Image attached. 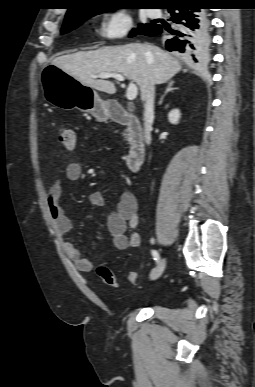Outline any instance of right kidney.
<instances>
[{"instance_id":"obj_1","label":"right kidney","mask_w":255,"mask_h":387,"mask_svg":"<svg viewBox=\"0 0 255 387\" xmlns=\"http://www.w3.org/2000/svg\"><path fill=\"white\" fill-rule=\"evenodd\" d=\"M180 111L179 109H173L168 114V120L171 124H177L180 119Z\"/></svg>"}]
</instances>
